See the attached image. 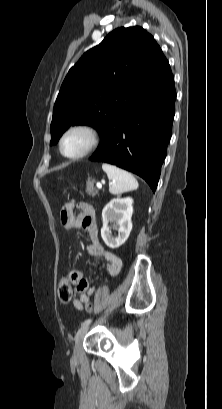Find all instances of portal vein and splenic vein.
<instances>
[{"label": "portal vein and splenic vein", "instance_id": "obj_1", "mask_svg": "<svg viewBox=\"0 0 222 409\" xmlns=\"http://www.w3.org/2000/svg\"><path fill=\"white\" fill-rule=\"evenodd\" d=\"M96 186H97L98 189L102 188V184L100 182H97Z\"/></svg>", "mask_w": 222, "mask_h": 409}]
</instances>
